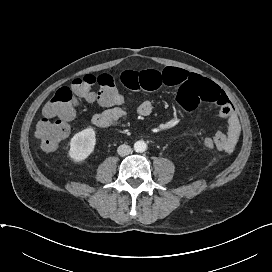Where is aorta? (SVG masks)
Returning a JSON list of instances; mask_svg holds the SVG:
<instances>
[{"label": "aorta", "instance_id": "obj_1", "mask_svg": "<svg viewBox=\"0 0 272 272\" xmlns=\"http://www.w3.org/2000/svg\"><path fill=\"white\" fill-rule=\"evenodd\" d=\"M146 149H147V144L144 141H142V140L137 141L134 144V150L136 152H144Z\"/></svg>", "mask_w": 272, "mask_h": 272}]
</instances>
